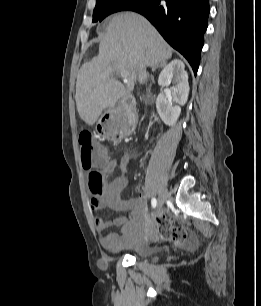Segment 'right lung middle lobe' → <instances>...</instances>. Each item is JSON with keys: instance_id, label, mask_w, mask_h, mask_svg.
Listing matches in <instances>:
<instances>
[{"instance_id": "dd1d6c3e", "label": "right lung middle lobe", "mask_w": 261, "mask_h": 306, "mask_svg": "<svg viewBox=\"0 0 261 306\" xmlns=\"http://www.w3.org/2000/svg\"><path fill=\"white\" fill-rule=\"evenodd\" d=\"M142 0H96V6L93 11V22L102 21L106 16L122 11L131 10Z\"/></svg>"}]
</instances>
